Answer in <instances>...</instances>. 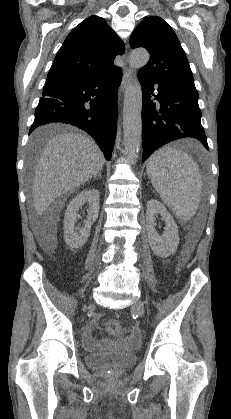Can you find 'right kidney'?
I'll return each mask as SVG.
<instances>
[{
	"instance_id": "ca27d5eb",
	"label": "right kidney",
	"mask_w": 231,
	"mask_h": 419,
	"mask_svg": "<svg viewBox=\"0 0 231 419\" xmlns=\"http://www.w3.org/2000/svg\"><path fill=\"white\" fill-rule=\"evenodd\" d=\"M99 197V191L92 188L82 191L70 201L64 217L63 230L64 239L71 248H82L87 242L90 236L91 226L99 214ZM85 203L89 205L87 219L84 221V227L76 228L77 212Z\"/></svg>"
}]
</instances>
